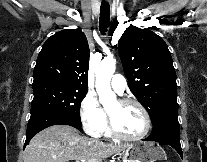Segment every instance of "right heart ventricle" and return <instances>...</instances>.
<instances>
[{"mask_svg": "<svg viewBox=\"0 0 207 162\" xmlns=\"http://www.w3.org/2000/svg\"><path fill=\"white\" fill-rule=\"evenodd\" d=\"M103 134L106 135V136H110L111 133H110L109 129L107 128V126H106Z\"/></svg>", "mask_w": 207, "mask_h": 162, "instance_id": "1", "label": "right heart ventricle"}]
</instances>
